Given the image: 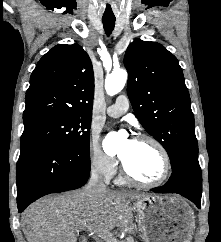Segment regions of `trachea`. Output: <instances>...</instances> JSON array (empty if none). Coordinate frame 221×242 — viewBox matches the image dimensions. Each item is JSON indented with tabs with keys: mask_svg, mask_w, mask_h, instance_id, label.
Listing matches in <instances>:
<instances>
[{
	"mask_svg": "<svg viewBox=\"0 0 221 242\" xmlns=\"http://www.w3.org/2000/svg\"><path fill=\"white\" fill-rule=\"evenodd\" d=\"M102 22H103V27H104L105 33L107 36H109L115 27V19L114 18H103Z\"/></svg>",
	"mask_w": 221,
	"mask_h": 242,
	"instance_id": "3493384b",
	"label": "trachea"
}]
</instances>
